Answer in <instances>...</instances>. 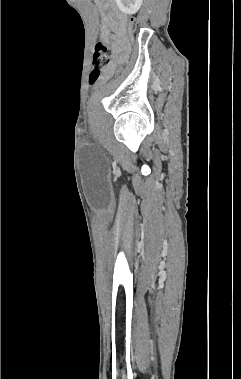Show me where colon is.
Listing matches in <instances>:
<instances>
[{
  "instance_id": "colon-1",
  "label": "colon",
  "mask_w": 241,
  "mask_h": 379,
  "mask_svg": "<svg viewBox=\"0 0 241 379\" xmlns=\"http://www.w3.org/2000/svg\"><path fill=\"white\" fill-rule=\"evenodd\" d=\"M133 23H134V19L131 18L129 22V26H128L129 28L127 30L128 31L127 38L129 41L134 43L136 42L137 39H136V33L134 32L135 26ZM110 54H111V50H110L109 45L106 42L100 41L96 45L94 53H93L94 67L89 76L90 83L95 84L101 79L109 63Z\"/></svg>"
}]
</instances>
